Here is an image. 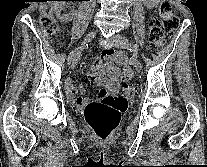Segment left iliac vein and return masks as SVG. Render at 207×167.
Listing matches in <instances>:
<instances>
[{"instance_id": "obj_1", "label": "left iliac vein", "mask_w": 207, "mask_h": 167, "mask_svg": "<svg viewBox=\"0 0 207 167\" xmlns=\"http://www.w3.org/2000/svg\"><path fill=\"white\" fill-rule=\"evenodd\" d=\"M112 41L117 48H126L128 49L132 43L123 35H114L112 37ZM133 64L137 72H140L142 69L141 62L137 58V56L134 54L133 56Z\"/></svg>"}]
</instances>
